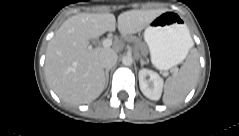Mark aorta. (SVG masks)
Wrapping results in <instances>:
<instances>
[{"label":"aorta","mask_w":239,"mask_h":136,"mask_svg":"<svg viewBox=\"0 0 239 136\" xmlns=\"http://www.w3.org/2000/svg\"><path fill=\"white\" fill-rule=\"evenodd\" d=\"M122 63L125 66H130L133 63V58L130 55H126L122 58Z\"/></svg>","instance_id":"aorta-1"}]
</instances>
